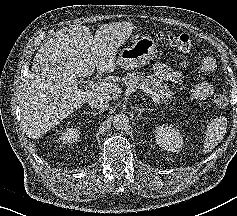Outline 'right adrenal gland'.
<instances>
[{
    "mask_svg": "<svg viewBox=\"0 0 237 216\" xmlns=\"http://www.w3.org/2000/svg\"><path fill=\"white\" fill-rule=\"evenodd\" d=\"M86 114H91V115L95 116L97 114V112L96 111H90V112H88Z\"/></svg>",
    "mask_w": 237,
    "mask_h": 216,
    "instance_id": "1",
    "label": "right adrenal gland"
}]
</instances>
